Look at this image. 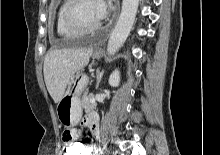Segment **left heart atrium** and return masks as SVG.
<instances>
[{
  "instance_id": "obj_1",
  "label": "left heart atrium",
  "mask_w": 220,
  "mask_h": 155,
  "mask_svg": "<svg viewBox=\"0 0 220 155\" xmlns=\"http://www.w3.org/2000/svg\"><path fill=\"white\" fill-rule=\"evenodd\" d=\"M95 3L101 18H104L110 9V2L108 0H95Z\"/></svg>"
}]
</instances>
